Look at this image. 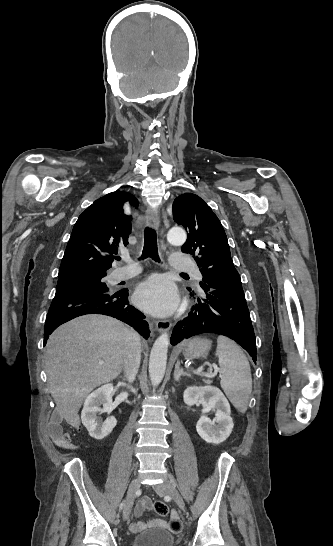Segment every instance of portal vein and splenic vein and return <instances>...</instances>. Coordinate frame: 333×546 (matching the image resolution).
Returning <instances> with one entry per match:
<instances>
[{
    "label": "portal vein and splenic vein",
    "mask_w": 333,
    "mask_h": 546,
    "mask_svg": "<svg viewBox=\"0 0 333 546\" xmlns=\"http://www.w3.org/2000/svg\"><path fill=\"white\" fill-rule=\"evenodd\" d=\"M99 363L102 364L103 362L101 361V362H99ZM213 367H214V373L212 374V376H214L215 374H217V372H218V370H219V368H218L217 366L213 365ZM197 374H198V375H205V376L207 375V374L202 373V372H198Z\"/></svg>",
    "instance_id": "obj_1"
}]
</instances>
